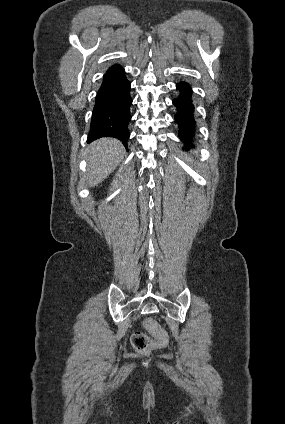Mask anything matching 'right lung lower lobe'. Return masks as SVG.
I'll return each instance as SVG.
<instances>
[{
  "label": "right lung lower lobe",
  "mask_w": 285,
  "mask_h": 424,
  "mask_svg": "<svg viewBox=\"0 0 285 424\" xmlns=\"http://www.w3.org/2000/svg\"><path fill=\"white\" fill-rule=\"evenodd\" d=\"M131 83L125 70L118 64L112 65L103 76L93 108L88 142L101 137H113L127 147Z\"/></svg>",
  "instance_id": "right-lung-lower-lobe-1"
}]
</instances>
